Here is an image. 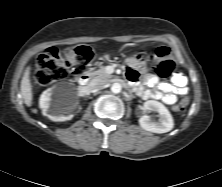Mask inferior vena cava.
<instances>
[{"label":"inferior vena cava","mask_w":222,"mask_h":187,"mask_svg":"<svg viewBox=\"0 0 222 187\" xmlns=\"http://www.w3.org/2000/svg\"><path fill=\"white\" fill-rule=\"evenodd\" d=\"M107 84V80L104 78L96 77L90 82V86L93 89H100Z\"/></svg>","instance_id":"1"}]
</instances>
